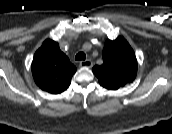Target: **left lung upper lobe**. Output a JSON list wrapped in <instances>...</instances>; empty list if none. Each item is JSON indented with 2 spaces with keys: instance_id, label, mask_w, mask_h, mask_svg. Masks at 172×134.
Listing matches in <instances>:
<instances>
[{
  "instance_id": "obj_1",
  "label": "left lung upper lobe",
  "mask_w": 172,
  "mask_h": 134,
  "mask_svg": "<svg viewBox=\"0 0 172 134\" xmlns=\"http://www.w3.org/2000/svg\"><path fill=\"white\" fill-rule=\"evenodd\" d=\"M103 64L92 71L106 89L117 90L131 83L137 75V59L129 43L123 38L106 40L103 49Z\"/></svg>"
}]
</instances>
